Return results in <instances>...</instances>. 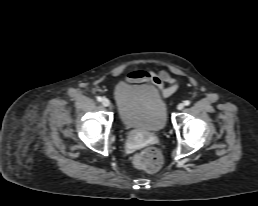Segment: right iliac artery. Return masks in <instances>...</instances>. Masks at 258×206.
Wrapping results in <instances>:
<instances>
[{"mask_svg":"<svg viewBox=\"0 0 258 206\" xmlns=\"http://www.w3.org/2000/svg\"><path fill=\"white\" fill-rule=\"evenodd\" d=\"M97 101L101 102L102 101V97L98 96L97 97Z\"/></svg>","mask_w":258,"mask_h":206,"instance_id":"right-iliac-artery-1","label":"right iliac artery"}]
</instances>
